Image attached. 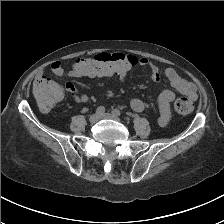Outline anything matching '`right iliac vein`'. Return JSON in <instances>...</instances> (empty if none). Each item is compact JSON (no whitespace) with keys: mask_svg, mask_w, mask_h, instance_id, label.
Segmentation results:
<instances>
[{"mask_svg":"<svg viewBox=\"0 0 224 224\" xmlns=\"http://www.w3.org/2000/svg\"><path fill=\"white\" fill-rule=\"evenodd\" d=\"M99 119H100V115L95 113L90 116L89 121H90V123L94 124V123L98 122Z\"/></svg>","mask_w":224,"mask_h":224,"instance_id":"obj_1","label":"right iliac vein"}]
</instances>
